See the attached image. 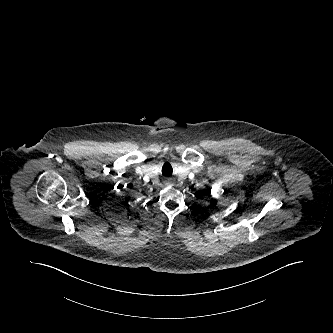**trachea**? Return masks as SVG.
<instances>
[{"instance_id": "3493384b", "label": "trachea", "mask_w": 333, "mask_h": 333, "mask_svg": "<svg viewBox=\"0 0 333 333\" xmlns=\"http://www.w3.org/2000/svg\"><path fill=\"white\" fill-rule=\"evenodd\" d=\"M167 165L169 166L168 168H167ZM162 173H163L164 176L167 175V174L171 175L172 174V167H171V165L170 164H165L163 166Z\"/></svg>"}]
</instances>
